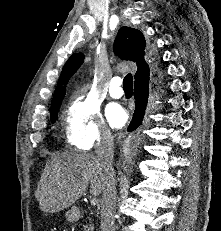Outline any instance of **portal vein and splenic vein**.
I'll use <instances>...</instances> for the list:
<instances>
[{
	"mask_svg": "<svg viewBox=\"0 0 221 231\" xmlns=\"http://www.w3.org/2000/svg\"><path fill=\"white\" fill-rule=\"evenodd\" d=\"M98 203V199L97 198H92L91 199V205H96Z\"/></svg>",
	"mask_w": 221,
	"mask_h": 231,
	"instance_id": "obj_1",
	"label": "portal vein and splenic vein"
}]
</instances>
